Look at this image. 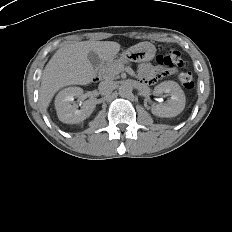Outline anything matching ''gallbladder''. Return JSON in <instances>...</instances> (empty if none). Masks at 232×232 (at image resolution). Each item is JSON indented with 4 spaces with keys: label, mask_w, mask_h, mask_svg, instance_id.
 Instances as JSON below:
<instances>
[{
    "label": "gallbladder",
    "mask_w": 232,
    "mask_h": 232,
    "mask_svg": "<svg viewBox=\"0 0 232 232\" xmlns=\"http://www.w3.org/2000/svg\"><path fill=\"white\" fill-rule=\"evenodd\" d=\"M88 60L90 61V63L92 64L93 67H99L100 63H101V59L98 56V54L94 51H90L88 53Z\"/></svg>",
    "instance_id": "bac80fb5"
}]
</instances>
